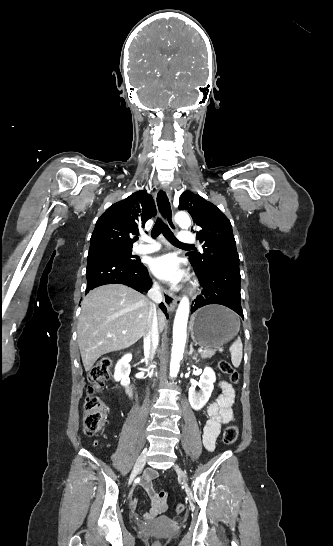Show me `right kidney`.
I'll return each mask as SVG.
<instances>
[{
  "label": "right kidney",
  "instance_id": "right-kidney-1",
  "mask_svg": "<svg viewBox=\"0 0 333 546\" xmlns=\"http://www.w3.org/2000/svg\"><path fill=\"white\" fill-rule=\"evenodd\" d=\"M132 359L130 353L125 354L116 364L114 378L116 381H120L123 386H126L130 383L129 374L131 372V367L129 362Z\"/></svg>",
  "mask_w": 333,
  "mask_h": 546
}]
</instances>
